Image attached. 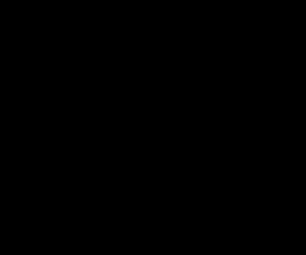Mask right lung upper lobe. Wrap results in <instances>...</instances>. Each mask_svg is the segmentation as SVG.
Here are the masks:
<instances>
[{
	"label": "right lung upper lobe",
	"mask_w": 306,
	"mask_h": 255,
	"mask_svg": "<svg viewBox=\"0 0 306 255\" xmlns=\"http://www.w3.org/2000/svg\"><path fill=\"white\" fill-rule=\"evenodd\" d=\"M120 75L93 76L76 84L60 108L56 153L68 187L96 196L116 172L109 155Z\"/></svg>",
	"instance_id": "1"
}]
</instances>
